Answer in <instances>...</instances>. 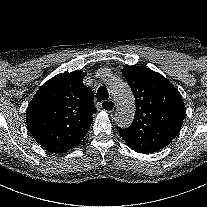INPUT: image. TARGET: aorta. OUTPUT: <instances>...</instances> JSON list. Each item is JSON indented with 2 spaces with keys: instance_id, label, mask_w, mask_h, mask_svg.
<instances>
[{
  "instance_id": "1",
  "label": "aorta",
  "mask_w": 207,
  "mask_h": 207,
  "mask_svg": "<svg viewBox=\"0 0 207 207\" xmlns=\"http://www.w3.org/2000/svg\"><path fill=\"white\" fill-rule=\"evenodd\" d=\"M109 89L117 105L115 122L119 127L127 128L135 115V102L131 88L120 78L113 77L110 80Z\"/></svg>"
}]
</instances>
